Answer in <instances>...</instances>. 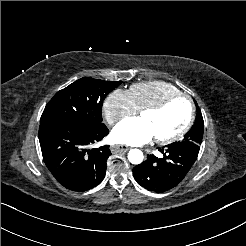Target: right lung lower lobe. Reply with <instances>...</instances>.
Wrapping results in <instances>:
<instances>
[{"instance_id":"right-lung-lower-lobe-1","label":"right lung lower lobe","mask_w":246,"mask_h":246,"mask_svg":"<svg viewBox=\"0 0 246 246\" xmlns=\"http://www.w3.org/2000/svg\"><path fill=\"white\" fill-rule=\"evenodd\" d=\"M109 133L104 124L83 126L73 122L40 124L39 141L46 166L64 187L87 191L101 183L109 146L91 149V145Z\"/></svg>"}]
</instances>
